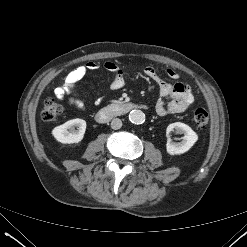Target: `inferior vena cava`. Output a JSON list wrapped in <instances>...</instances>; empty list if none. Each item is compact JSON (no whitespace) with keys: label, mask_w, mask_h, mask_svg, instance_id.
<instances>
[{"label":"inferior vena cava","mask_w":247,"mask_h":247,"mask_svg":"<svg viewBox=\"0 0 247 247\" xmlns=\"http://www.w3.org/2000/svg\"><path fill=\"white\" fill-rule=\"evenodd\" d=\"M122 127V121L119 118H115L111 121V128L118 130Z\"/></svg>","instance_id":"602c4592"}]
</instances>
